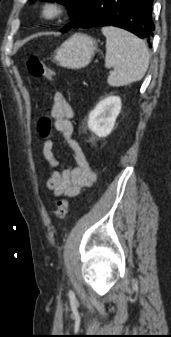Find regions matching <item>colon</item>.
Returning <instances> with one entry per match:
<instances>
[{
    "instance_id": "obj_1",
    "label": "colon",
    "mask_w": 171,
    "mask_h": 337,
    "mask_svg": "<svg viewBox=\"0 0 171 337\" xmlns=\"http://www.w3.org/2000/svg\"><path fill=\"white\" fill-rule=\"evenodd\" d=\"M27 69L31 76L35 78H47L52 79L54 76L53 71L46 66L37 57H30L27 60ZM37 131L43 138L49 137L51 133V120L48 116H42L37 123ZM69 202L65 198L58 200L56 208L53 212L54 217L58 220H62L68 213Z\"/></svg>"
}]
</instances>
